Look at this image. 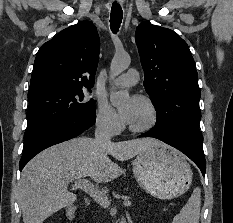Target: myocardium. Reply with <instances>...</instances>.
<instances>
[{"instance_id":"myocardium-1","label":"myocardium","mask_w":233,"mask_h":223,"mask_svg":"<svg viewBox=\"0 0 233 223\" xmlns=\"http://www.w3.org/2000/svg\"><path fill=\"white\" fill-rule=\"evenodd\" d=\"M138 99L142 100L146 106L149 108L151 115H152V121L151 123L146 127H135L132 125H129L128 128L131 132L135 134H146L158 127L160 124V113L156 106V104L147 96L145 95H139Z\"/></svg>"}]
</instances>
